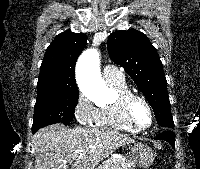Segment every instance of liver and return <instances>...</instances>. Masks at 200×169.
I'll use <instances>...</instances> for the list:
<instances>
[{
  "label": "liver",
  "instance_id": "6515ba94",
  "mask_svg": "<svg viewBox=\"0 0 200 169\" xmlns=\"http://www.w3.org/2000/svg\"><path fill=\"white\" fill-rule=\"evenodd\" d=\"M134 139L112 129L50 125L33 136L35 169H95L117 148Z\"/></svg>",
  "mask_w": 200,
  "mask_h": 169
}]
</instances>
